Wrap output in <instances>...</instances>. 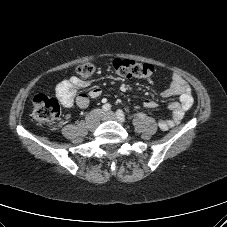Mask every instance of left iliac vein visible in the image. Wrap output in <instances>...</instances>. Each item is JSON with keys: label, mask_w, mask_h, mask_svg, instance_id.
Returning <instances> with one entry per match:
<instances>
[{"label": "left iliac vein", "mask_w": 227, "mask_h": 227, "mask_svg": "<svg viewBox=\"0 0 227 227\" xmlns=\"http://www.w3.org/2000/svg\"><path fill=\"white\" fill-rule=\"evenodd\" d=\"M103 120H115L118 122H122L117 116L116 114H114L112 111L106 112L104 113V116L102 118Z\"/></svg>", "instance_id": "obj_1"}]
</instances>
